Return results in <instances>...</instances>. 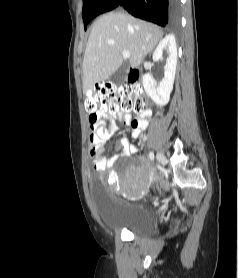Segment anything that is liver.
I'll return each instance as SVG.
<instances>
[{
  "label": "liver",
  "instance_id": "obj_1",
  "mask_svg": "<svg viewBox=\"0 0 238 278\" xmlns=\"http://www.w3.org/2000/svg\"><path fill=\"white\" fill-rule=\"evenodd\" d=\"M163 37L160 28L122 12H110L93 24L83 59V91L106 81L123 63V51L137 68Z\"/></svg>",
  "mask_w": 238,
  "mask_h": 278
}]
</instances>
